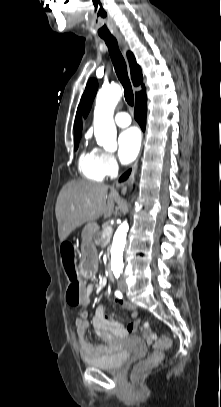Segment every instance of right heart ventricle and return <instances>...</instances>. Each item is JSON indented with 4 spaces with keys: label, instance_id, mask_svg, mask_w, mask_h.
Wrapping results in <instances>:
<instances>
[{
    "label": "right heart ventricle",
    "instance_id": "1",
    "mask_svg": "<svg viewBox=\"0 0 221 407\" xmlns=\"http://www.w3.org/2000/svg\"><path fill=\"white\" fill-rule=\"evenodd\" d=\"M78 167L82 176L88 180L102 181L105 178L96 150L84 151L79 158Z\"/></svg>",
    "mask_w": 221,
    "mask_h": 407
}]
</instances>
